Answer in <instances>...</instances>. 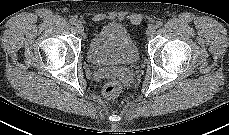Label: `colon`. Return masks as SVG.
I'll list each match as a JSON object with an SVG mask.
<instances>
[{
    "instance_id": "colon-1",
    "label": "colon",
    "mask_w": 229,
    "mask_h": 135,
    "mask_svg": "<svg viewBox=\"0 0 229 135\" xmlns=\"http://www.w3.org/2000/svg\"><path fill=\"white\" fill-rule=\"evenodd\" d=\"M121 92V85L117 81L109 82L103 88L102 94L108 100L115 99Z\"/></svg>"
}]
</instances>
